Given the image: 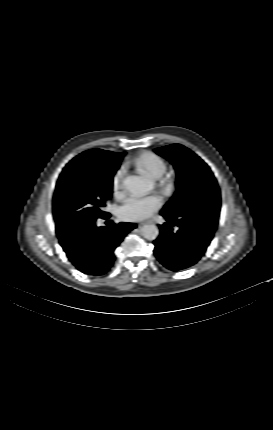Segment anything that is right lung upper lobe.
I'll use <instances>...</instances> for the list:
<instances>
[{
	"label": "right lung upper lobe",
	"instance_id": "cb5924a9",
	"mask_svg": "<svg viewBox=\"0 0 273 430\" xmlns=\"http://www.w3.org/2000/svg\"><path fill=\"white\" fill-rule=\"evenodd\" d=\"M120 154L121 153H115L101 149H92L83 152L78 157L95 163L116 165L119 167L121 161Z\"/></svg>",
	"mask_w": 273,
	"mask_h": 430
}]
</instances>
